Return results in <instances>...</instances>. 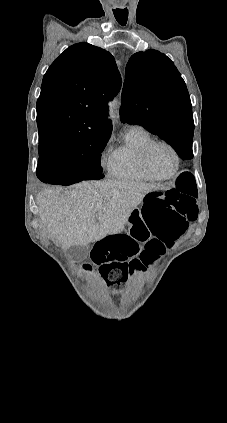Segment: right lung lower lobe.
Segmentation results:
<instances>
[{
    "instance_id": "98d812e1",
    "label": "right lung lower lobe",
    "mask_w": 227,
    "mask_h": 423,
    "mask_svg": "<svg viewBox=\"0 0 227 423\" xmlns=\"http://www.w3.org/2000/svg\"><path fill=\"white\" fill-rule=\"evenodd\" d=\"M36 174L42 182L55 185H71L82 181L70 175L68 169L50 161H39Z\"/></svg>"
}]
</instances>
